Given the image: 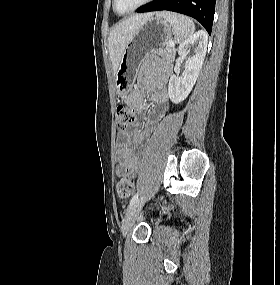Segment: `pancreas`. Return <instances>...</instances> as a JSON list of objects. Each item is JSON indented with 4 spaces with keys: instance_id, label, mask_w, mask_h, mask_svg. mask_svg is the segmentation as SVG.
Segmentation results:
<instances>
[{
    "instance_id": "pancreas-1",
    "label": "pancreas",
    "mask_w": 280,
    "mask_h": 285,
    "mask_svg": "<svg viewBox=\"0 0 280 285\" xmlns=\"http://www.w3.org/2000/svg\"><path fill=\"white\" fill-rule=\"evenodd\" d=\"M175 52H176L175 48L170 47V46H166L165 48L162 47V48L155 50V53H157L158 55H161L164 59L168 61H173Z\"/></svg>"
}]
</instances>
